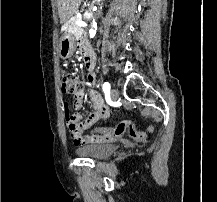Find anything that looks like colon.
Masks as SVG:
<instances>
[{
  "label": "colon",
  "mask_w": 217,
  "mask_h": 202,
  "mask_svg": "<svg viewBox=\"0 0 217 202\" xmlns=\"http://www.w3.org/2000/svg\"><path fill=\"white\" fill-rule=\"evenodd\" d=\"M78 77L75 74L65 75L61 80V90L63 93L73 94L74 87L73 82H76ZM66 125L68 131H78V128L74 121L73 115H66ZM149 132H154V127H149ZM93 132H115V135H128L133 138V140H147V135L143 131H137L132 125L131 121L128 119H123L120 121L117 127H93L88 129L87 133L91 134Z\"/></svg>",
  "instance_id": "5ec220e1"
}]
</instances>
